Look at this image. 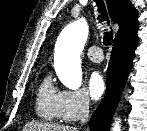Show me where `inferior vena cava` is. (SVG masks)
<instances>
[{
	"label": "inferior vena cava",
	"instance_id": "602c4592",
	"mask_svg": "<svg viewBox=\"0 0 147 131\" xmlns=\"http://www.w3.org/2000/svg\"><path fill=\"white\" fill-rule=\"evenodd\" d=\"M80 121L81 124H85L88 121L89 118V101L88 100H84L81 105H80Z\"/></svg>",
	"mask_w": 147,
	"mask_h": 131
}]
</instances>
